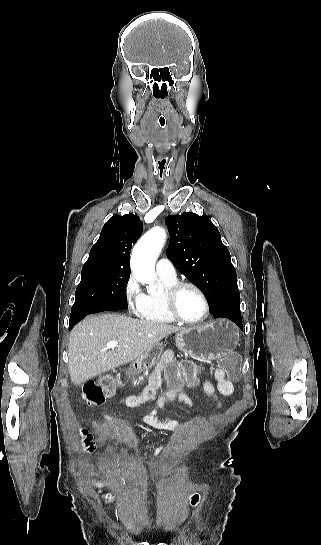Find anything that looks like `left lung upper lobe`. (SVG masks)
I'll use <instances>...</instances> for the list:
<instances>
[{
  "label": "left lung upper lobe",
  "mask_w": 321,
  "mask_h": 545,
  "mask_svg": "<svg viewBox=\"0 0 321 545\" xmlns=\"http://www.w3.org/2000/svg\"><path fill=\"white\" fill-rule=\"evenodd\" d=\"M165 224L170 234L168 258L201 289L211 308L240 297L230 253L209 216L184 212L168 216Z\"/></svg>",
  "instance_id": "5c2ea615"
}]
</instances>
